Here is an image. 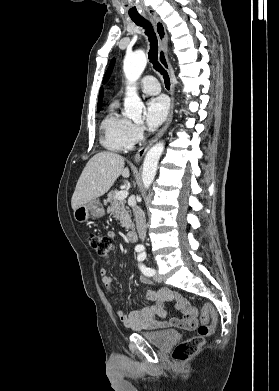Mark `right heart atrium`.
Returning <instances> with one entry per match:
<instances>
[{
  "mask_svg": "<svg viewBox=\"0 0 279 391\" xmlns=\"http://www.w3.org/2000/svg\"><path fill=\"white\" fill-rule=\"evenodd\" d=\"M143 134H144V127L141 124L131 123L129 129V136L133 142L140 140Z\"/></svg>",
  "mask_w": 279,
  "mask_h": 391,
  "instance_id": "1",
  "label": "right heart atrium"
}]
</instances>
